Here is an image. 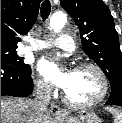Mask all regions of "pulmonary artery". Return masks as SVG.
I'll list each match as a JSON object with an SVG mask.
<instances>
[{"label": "pulmonary artery", "instance_id": "e3ab8cb5", "mask_svg": "<svg viewBox=\"0 0 122 123\" xmlns=\"http://www.w3.org/2000/svg\"><path fill=\"white\" fill-rule=\"evenodd\" d=\"M50 47H58L65 51L71 52L75 50V43L69 35L62 34L54 39L38 40L36 42H32L24 50L25 51L42 50Z\"/></svg>", "mask_w": 122, "mask_h": 123}]
</instances>
